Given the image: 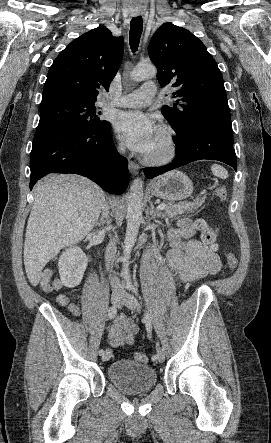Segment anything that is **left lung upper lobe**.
<instances>
[{
    "label": "left lung upper lobe",
    "instance_id": "5c2ea615",
    "mask_svg": "<svg viewBox=\"0 0 271 443\" xmlns=\"http://www.w3.org/2000/svg\"><path fill=\"white\" fill-rule=\"evenodd\" d=\"M148 52L160 85L175 82L173 95L183 102L161 109L174 130L185 128L203 113L231 119L222 74L199 38L165 23L153 35Z\"/></svg>",
    "mask_w": 271,
    "mask_h": 443
}]
</instances>
